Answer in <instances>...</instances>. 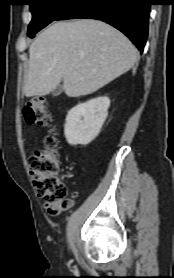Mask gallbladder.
Wrapping results in <instances>:
<instances>
[{"mask_svg": "<svg viewBox=\"0 0 174 278\" xmlns=\"http://www.w3.org/2000/svg\"><path fill=\"white\" fill-rule=\"evenodd\" d=\"M63 87L61 85H58L53 91L52 94L53 96H58L62 93Z\"/></svg>", "mask_w": 174, "mask_h": 278, "instance_id": "1", "label": "gallbladder"}]
</instances>
